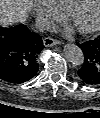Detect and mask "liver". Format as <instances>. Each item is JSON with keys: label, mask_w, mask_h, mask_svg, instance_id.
<instances>
[{"label": "liver", "mask_w": 100, "mask_h": 118, "mask_svg": "<svg viewBox=\"0 0 100 118\" xmlns=\"http://www.w3.org/2000/svg\"><path fill=\"white\" fill-rule=\"evenodd\" d=\"M31 0H0V23L2 26L24 23L31 11Z\"/></svg>", "instance_id": "obj_1"}]
</instances>
